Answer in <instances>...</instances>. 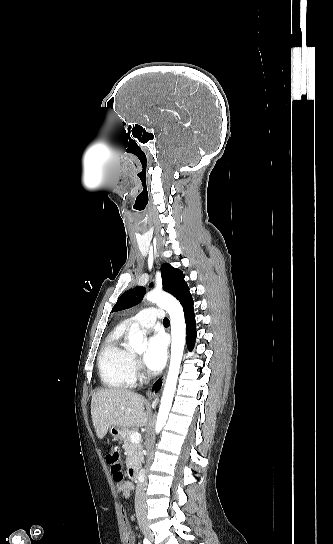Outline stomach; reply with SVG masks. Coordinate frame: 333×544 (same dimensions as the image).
Returning a JSON list of instances; mask_svg holds the SVG:
<instances>
[{"label":"stomach","instance_id":"obj_1","mask_svg":"<svg viewBox=\"0 0 333 544\" xmlns=\"http://www.w3.org/2000/svg\"><path fill=\"white\" fill-rule=\"evenodd\" d=\"M126 431H127L126 429L120 428L118 426H111L109 428V433L112 435V437L115 440H121L123 436L125 435Z\"/></svg>","mask_w":333,"mask_h":544}]
</instances>
